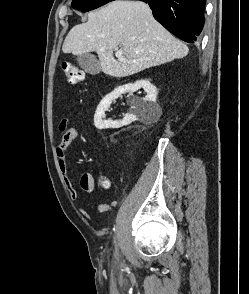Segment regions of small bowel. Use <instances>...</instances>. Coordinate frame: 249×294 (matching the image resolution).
<instances>
[{
    "label": "small bowel",
    "mask_w": 249,
    "mask_h": 294,
    "mask_svg": "<svg viewBox=\"0 0 249 294\" xmlns=\"http://www.w3.org/2000/svg\"><path fill=\"white\" fill-rule=\"evenodd\" d=\"M59 129L63 132L61 140L56 148V156L58 160V166L63 174L64 184L68 189L70 198L75 200L77 198V190L73 186L71 180L67 176V160L66 151L72 142L77 138L79 131L75 126H70L67 120H62L59 123ZM81 189L88 195H92L95 191L94 179L90 174H84L80 180ZM116 205V202L112 203H95V208L100 213L111 212ZM80 213L89 221L92 220L91 215L84 209H79Z\"/></svg>",
    "instance_id": "1"
}]
</instances>
